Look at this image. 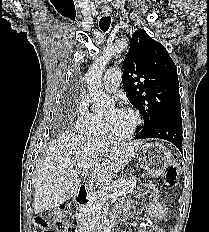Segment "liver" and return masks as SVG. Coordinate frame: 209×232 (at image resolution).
I'll use <instances>...</instances> for the list:
<instances>
[{
    "instance_id": "1",
    "label": "liver",
    "mask_w": 209,
    "mask_h": 232,
    "mask_svg": "<svg viewBox=\"0 0 209 232\" xmlns=\"http://www.w3.org/2000/svg\"><path fill=\"white\" fill-rule=\"evenodd\" d=\"M141 142H109L64 133L51 143L36 169L34 211L58 207L77 194L84 166L100 184H107L129 163Z\"/></svg>"
}]
</instances>
